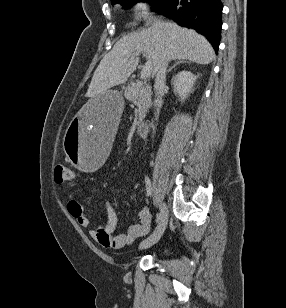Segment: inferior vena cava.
<instances>
[{
	"mask_svg": "<svg viewBox=\"0 0 286 308\" xmlns=\"http://www.w3.org/2000/svg\"><path fill=\"white\" fill-rule=\"evenodd\" d=\"M171 60L170 57H168L161 65L160 69L157 71L156 77H155V84H154V90H155V99H154V106L156 108L155 112V120L158 119L160 109L162 106V94L165 89V81H166V72L168 63Z\"/></svg>",
	"mask_w": 286,
	"mask_h": 308,
	"instance_id": "obj_1",
	"label": "inferior vena cava"
}]
</instances>
